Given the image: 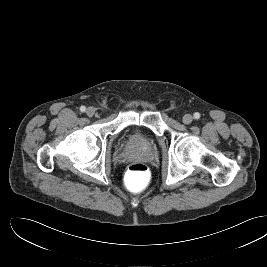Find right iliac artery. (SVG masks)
I'll use <instances>...</instances> for the list:
<instances>
[{
  "mask_svg": "<svg viewBox=\"0 0 267 267\" xmlns=\"http://www.w3.org/2000/svg\"><path fill=\"white\" fill-rule=\"evenodd\" d=\"M80 111H81V112H85V111H86V107H85V106H81V107H80Z\"/></svg>",
  "mask_w": 267,
  "mask_h": 267,
  "instance_id": "82829eb1",
  "label": "right iliac artery"
}]
</instances>
